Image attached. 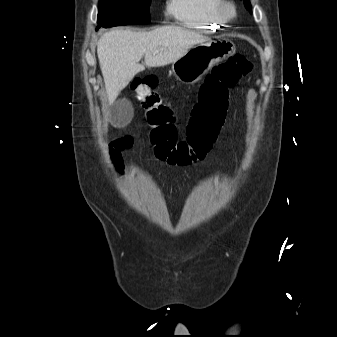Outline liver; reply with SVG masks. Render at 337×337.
<instances>
[{"label":"liver","mask_w":337,"mask_h":337,"mask_svg":"<svg viewBox=\"0 0 337 337\" xmlns=\"http://www.w3.org/2000/svg\"><path fill=\"white\" fill-rule=\"evenodd\" d=\"M193 31L163 26L149 32L116 29L104 33L97 55L110 103L129 81L147 67H160L180 59L192 46L208 41ZM144 57V64L139 61Z\"/></svg>","instance_id":"liver-1"}]
</instances>
